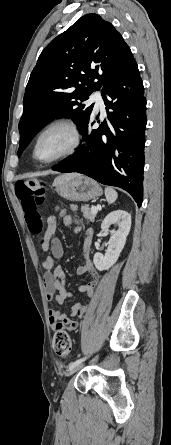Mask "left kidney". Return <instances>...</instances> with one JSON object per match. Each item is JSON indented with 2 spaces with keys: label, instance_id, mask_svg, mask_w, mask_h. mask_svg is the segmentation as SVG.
Instances as JSON below:
<instances>
[{
  "label": "left kidney",
  "instance_id": "obj_1",
  "mask_svg": "<svg viewBox=\"0 0 171 445\" xmlns=\"http://www.w3.org/2000/svg\"><path fill=\"white\" fill-rule=\"evenodd\" d=\"M112 224L118 226L117 230L109 231ZM131 228V215L124 210H116L109 213L102 221L101 230L111 232L108 248L105 255L95 253L93 263L99 271L107 270L118 260L126 243Z\"/></svg>",
  "mask_w": 171,
  "mask_h": 445
}]
</instances>
